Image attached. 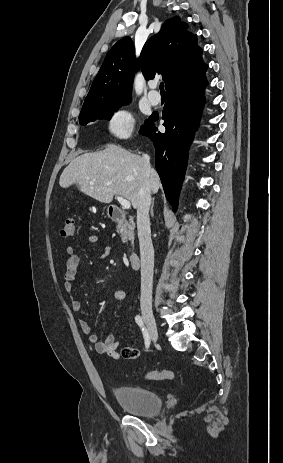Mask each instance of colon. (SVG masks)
Listing matches in <instances>:
<instances>
[{"label": "colon", "instance_id": "colon-1", "mask_svg": "<svg viewBox=\"0 0 283 463\" xmlns=\"http://www.w3.org/2000/svg\"><path fill=\"white\" fill-rule=\"evenodd\" d=\"M75 233V222L71 217H66L62 220L60 226V235L62 237H71ZM176 375L170 370L151 371L145 375V379L148 381H162V380H173Z\"/></svg>", "mask_w": 283, "mask_h": 463}]
</instances>
